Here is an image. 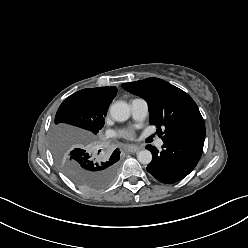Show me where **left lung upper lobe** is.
I'll list each match as a JSON object with an SVG mask.
<instances>
[{
	"label": "left lung upper lobe",
	"mask_w": 248,
	"mask_h": 248,
	"mask_svg": "<svg viewBox=\"0 0 248 248\" xmlns=\"http://www.w3.org/2000/svg\"><path fill=\"white\" fill-rule=\"evenodd\" d=\"M122 87L147 101L150 123L157 127L163 142L183 132L205 128L194 100L183 90L162 79L151 77L122 84Z\"/></svg>",
	"instance_id": "left-lung-upper-lobe-1"
}]
</instances>
